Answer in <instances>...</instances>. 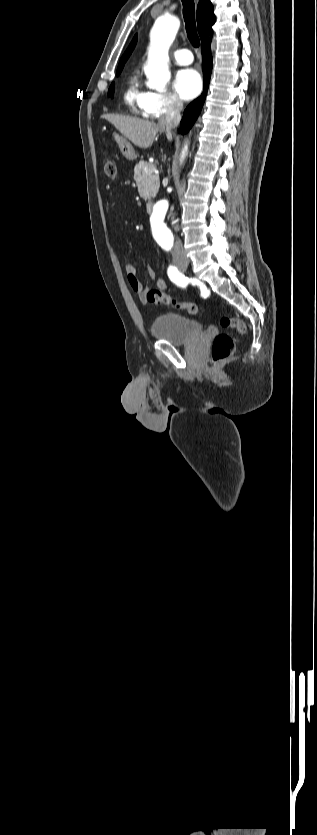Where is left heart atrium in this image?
<instances>
[{"instance_id": "39dd6f15", "label": "left heart atrium", "mask_w": 317, "mask_h": 835, "mask_svg": "<svg viewBox=\"0 0 317 835\" xmlns=\"http://www.w3.org/2000/svg\"><path fill=\"white\" fill-rule=\"evenodd\" d=\"M174 87L183 99H192L196 97L201 91V77L199 73L194 69H181L177 72L175 76Z\"/></svg>"}]
</instances>
